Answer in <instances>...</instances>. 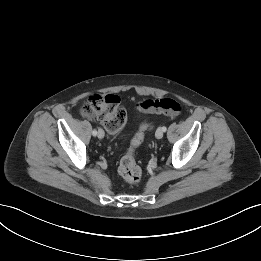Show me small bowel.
Segmentation results:
<instances>
[{
    "label": "small bowel",
    "instance_id": "obj_1",
    "mask_svg": "<svg viewBox=\"0 0 261 261\" xmlns=\"http://www.w3.org/2000/svg\"><path fill=\"white\" fill-rule=\"evenodd\" d=\"M146 102V101H145ZM145 102L141 103L139 106H138V110L141 111V112H152L150 111L149 109H147L145 107Z\"/></svg>",
    "mask_w": 261,
    "mask_h": 261
}]
</instances>
